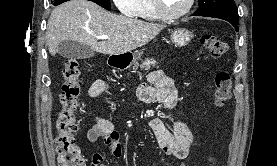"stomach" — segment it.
I'll return each instance as SVG.
<instances>
[{
    "label": "stomach",
    "instance_id": "1",
    "mask_svg": "<svg viewBox=\"0 0 277 166\" xmlns=\"http://www.w3.org/2000/svg\"><path fill=\"white\" fill-rule=\"evenodd\" d=\"M192 38V32L185 28H178L171 33L172 43L179 47L187 45ZM141 55L142 51L127 52L119 54L118 56L111 55L112 57H110V59H112L113 65L119 68H128L137 63V61L141 58Z\"/></svg>",
    "mask_w": 277,
    "mask_h": 166
}]
</instances>
